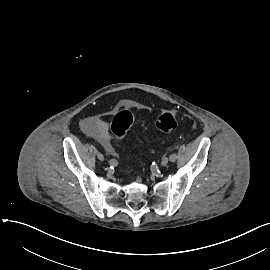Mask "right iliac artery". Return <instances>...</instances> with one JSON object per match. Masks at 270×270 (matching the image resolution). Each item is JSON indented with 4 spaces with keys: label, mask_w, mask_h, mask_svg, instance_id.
<instances>
[{
    "label": "right iliac artery",
    "mask_w": 270,
    "mask_h": 270,
    "mask_svg": "<svg viewBox=\"0 0 270 270\" xmlns=\"http://www.w3.org/2000/svg\"><path fill=\"white\" fill-rule=\"evenodd\" d=\"M109 164H110L111 166H116V165L118 164V162H117V160H115V159H110V160H109Z\"/></svg>",
    "instance_id": "82829eb1"
}]
</instances>
